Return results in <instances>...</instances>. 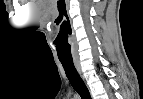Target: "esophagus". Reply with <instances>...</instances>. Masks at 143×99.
Wrapping results in <instances>:
<instances>
[{
	"label": "esophagus",
	"instance_id": "obj_1",
	"mask_svg": "<svg viewBox=\"0 0 143 99\" xmlns=\"http://www.w3.org/2000/svg\"><path fill=\"white\" fill-rule=\"evenodd\" d=\"M75 66H76L78 72L81 74V69H80L79 63H78V62H75Z\"/></svg>",
	"mask_w": 143,
	"mask_h": 99
}]
</instances>
